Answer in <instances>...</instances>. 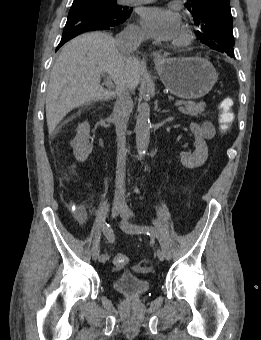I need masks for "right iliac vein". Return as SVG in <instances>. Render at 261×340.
<instances>
[{"label": "right iliac vein", "mask_w": 261, "mask_h": 340, "mask_svg": "<svg viewBox=\"0 0 261 340\" xmlns=\"http://www.w3.org/2000/svg\"><path fill=\"white\" fill-rule=\"evenodd\" d=\"M122 211V204L119 201H115L111 208V215L113 218H116ZM100 248L96 247L91 253V259L93 262H96L99 259Z\"/></svg>", "instance_id": "63e3f726"}]
</instances>
